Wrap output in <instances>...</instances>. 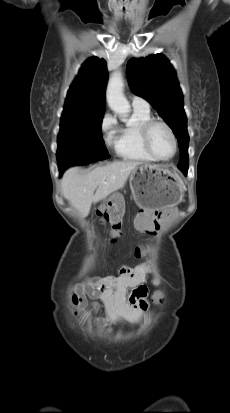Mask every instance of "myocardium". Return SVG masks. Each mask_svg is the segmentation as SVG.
Masks as SVG:
<instances>
[{"mask_svg": "<svg viewBox=\"0 0 230 413\" xmlns=\"http://www.w3.org/2000/svg\"><path fill=\"white\" fill-rule=\"evenodd\" d=\"M158 124L164 126L167 129L173 141V153L168 158H161L158 155H156L150 144L151 129L153 126L158 125ZM140 135H141V141H142L144 149L146 150L148 155L152 157L154 160L160 161V162H167V161L172 160L176 156L177 151H178L177 137L171 125L167 123L166 121L162 119H156V118L149 119L141 126Z\"/></svg>", "mask_w": 230, "mask_h": 413, "instance_id": "obj_1", "label": "myocardium"}]
</instances>
